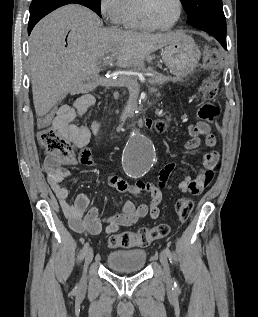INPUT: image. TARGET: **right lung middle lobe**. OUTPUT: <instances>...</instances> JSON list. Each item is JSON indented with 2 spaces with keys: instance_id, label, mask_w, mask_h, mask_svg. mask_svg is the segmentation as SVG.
<instances>
[{
  "instance_id": "obj_1",
  "label": "right lung middle lobe",
  "mask_w": 258,
  "mask_h": 317,
  "mask_svg": "<svg viewBox=\"0 0 258 317\" xmlns=\"http://www.w3.org/2000/svg\"><path fill=\"white\" fill-rule=\"evenodd\" d=\"M98 8H100L101 0H92Z\"/></svg>"
}]
</instances>
